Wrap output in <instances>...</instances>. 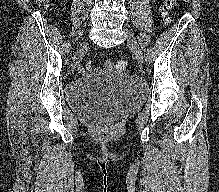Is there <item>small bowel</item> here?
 <instances>
[{
    "instance_id": "c3829d8e",
    "label": "small bowel",
    "mask_w": 219,
    "mask_h": 192,
    "mask_svg": "<svg viewBox=\"0 0 219 192\" xmlns=\"http://www.w3.org/2000/svg\"><path fill=\"white\" fill-rule=\"evenodd\" d=\"M88 67H89L90 69H93V68H94V66H93L92 64H89Z\"/></svg>"
}]
</instances>
